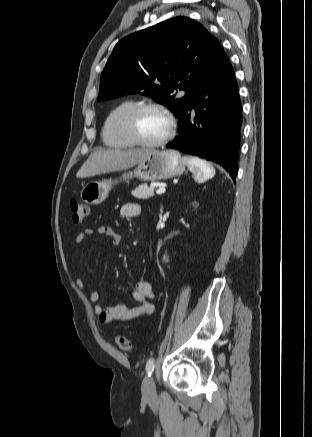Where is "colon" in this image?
<instances>
[{"label": "colon", "instance_id": "obj_1", "mask_svg": "<svg viewBox=\"0 0 312 437\" xmlns=\"http://www.w3.org/2000/svg\"><path fill=\"white\" fill-rule=\"evenodd\" d=\"M70 210L72 215V221L75 224L81 223L89 213V207L77 200L70 201ZM118 347L123 351H129L132 349V342L125 336L117 337Z\"/></svg>", "mask_w": 312, "mask_h": 437}]
</instances>
